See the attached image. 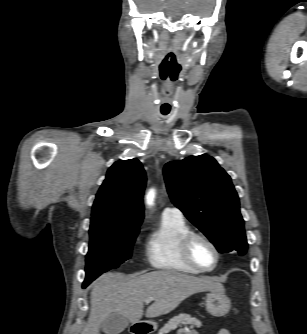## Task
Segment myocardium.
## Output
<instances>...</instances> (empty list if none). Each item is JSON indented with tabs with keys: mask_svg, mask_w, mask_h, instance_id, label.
<instances>
[{
	"mask_svg": "<svg viewBox=\"0 0 307 334\" xmlns=\"http://www.w3.org/2000/svg\"><path fill=\"white\" fill-rule=\"evenodd\" d=\"M196 240H202L207 243L215 254V262L209 268L200 266L193 257L192 246ZM180 249L184 260L199 272H211L217 268L220 262V251L215 242L203 233L191 231L181 240Z\"/></svg>",
	"mask_w": 307,
	"mask_h": 334,
	"instance_id": "myocardium-1",
	"label": "myocardium"
}]
</instances>
